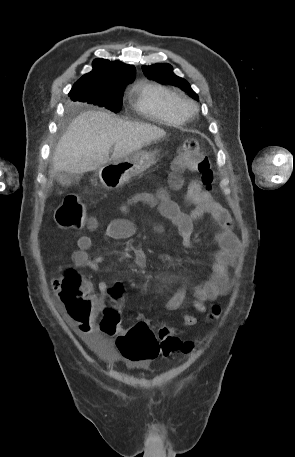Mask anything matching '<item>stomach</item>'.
<instances>
[{
  "instance_id": "stomach-1",
  "label": "stomach",
  "mask_w": 295,
  "mask_h": 457,
  "mask_svg": "<svg viewBox=\"0 0 295 457\" xmlns=\"http://www.w3.org/2000/svg\"><path fill=\"white\" fill-rule=\"evenodd\" d=\"M156 157L157 151L138 150L121 159L113 160L99 169L100 181L107 189H117L154 165Z\"/></svg>"
}]
</instances>
